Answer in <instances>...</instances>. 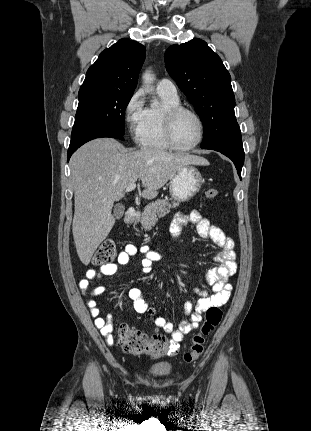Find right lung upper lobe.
<instances>
[{"mask_svg":"<svg viewBox=\"0 0 311 431\" xmlns=\"http://www.w3.org/2000/svg\"><path fill=\"white\" fill-rule=\"evenodd\" d=\"M145 53L142 44L126 38L119 40L100 53L88 69L79 91L104 90L133 94Z\"/></svg>","mask_w":311,"mask_h":431,"instance_id":"obj_1","label":"right lung upper lobe"}]
</instances>
